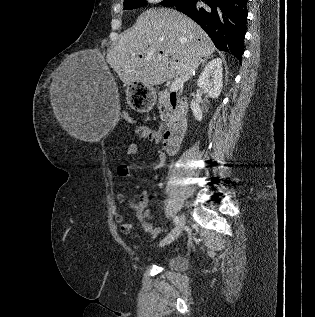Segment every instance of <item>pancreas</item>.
Segmentation results:
<instances>
[{
	"mask_svg": "<svg viewBox=\"0 0 315 317\" xmlns=\"http://www.w3.org/2000/svg\"><path fill=\"white\" fill-rule=\"evenodd\" d=\"M158 102H159V105H158L159 108L165 106V111L161 112V119L162 121H164V125H167L171 118V112L169 108L170 98H169V92L167 90L161 91L159 93ZM161 127H163L162 124H161Z\"/></svg>",
	"mask_w": 315,
	"mask_h": 317,
	"instance_id": "1",
	"label": "pancreas"
}]
</instances>
